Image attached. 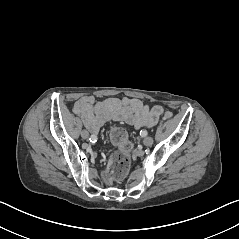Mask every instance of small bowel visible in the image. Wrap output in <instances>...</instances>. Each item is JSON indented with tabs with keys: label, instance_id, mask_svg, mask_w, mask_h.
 <instances>
[{
	"label": "small bowel",
	"instance_id": "obj_1",
	"mask_svg": "<svg viewBox=\"0 0 239 239\" xmlns=\"http://www.w3.org/2000/svg\"><path fill=\"white\" fill-rule=\"evenodd\" d=\"M73 111L81 117L90 132L96 133L109 121H123L136 129L152 127L158 122L163 108H150L135 98H108L96 101L93 96H83L74 103Z\"/></svg>",
	"mask_w": 239,
	"mask_h": 239
}]
</instances>
